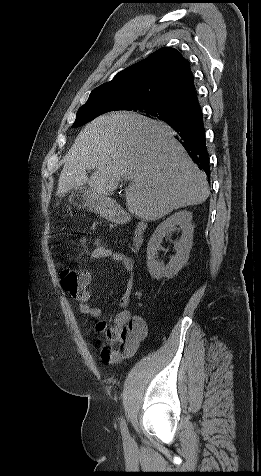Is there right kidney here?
<instances>
[{"label":"right kidney","mask_w":261,"mask_h":476,"mask_svg":"<svg viewBox=\"0 0 261 476\" xmlns=\"http://www.w3.org/2000/svg\"><path fill=\"white\" fill-rule=\"evenodd\" d=\"M191 221L192 213L183 210L169 216L157 226L147 244V267L152 278L157 280L162 277L173 278L186 264L193 240L194 229ZM176 225L181 228L182 235L174 243L175 256H172L169 263L164 265L162 261L157 260V253L160 250L163 238L170 236Z\"/></svg>","instance_id":"right-kidney-1"}]
</instances>
